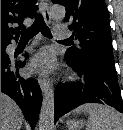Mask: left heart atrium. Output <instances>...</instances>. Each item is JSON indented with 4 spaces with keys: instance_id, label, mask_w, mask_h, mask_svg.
Listing matches in <instances>:
<instances>
[{
    "instance_id": "1",
    "label": "left heart atrium",
    "mask_w": 123,
    "mask_h": 130,
    "mask_svg": "<svg viewBox=\"0 0 123 130\" xmlns=\"http://www.w3.org/2000/svg\"><path fill=\"white\" fill-rule=\"evenodd\" d=\"M55 59L51 51L44 49L40 51L31 61L30 68L41 73H48L54 67Z\"/></svg>"
}]
</instances>
